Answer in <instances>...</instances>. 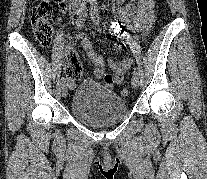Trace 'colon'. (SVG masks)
Instances as JSON below:
<instances>
[{
	"label": "colon",
	"mask_w": 207,
	"mask_h": 179,
	"mask_svg": "<svg viewBox=\"0 0 207 179\" xmlns=\"http://www.w3.org/2000/svg\"><path fill=\"white\" fill-rule=\"evenodd\" d=\"M53 6L50 0H41L31 12V24L34 36L42 47H48L53 37L51 18ZM65 76L70 81L78 80L82 76V66L73 52H67L64 67ZM125 97L129 94L128 88H122L118 92Z\"/></svg>",
	"instance_id": "1"
}]
</instances>
